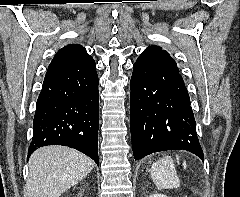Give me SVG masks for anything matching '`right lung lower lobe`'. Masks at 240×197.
Here are the masks:
<instances>
[{
  "label": "right lung lower lobe",
  "instance_id": "right-lung-lower-lobe-1",
  "mask_svg": "<svg viewBox=\"0 0 240 197\" xmlns=\"http://www.w3.org/2000/svg\"><path fill=\"white\" fill-rule=\"evenodd\" d=\"M98 83L96 65L45 76L28 155L42 146L63 145L81 151L99 165Z\"/></svg>",
  "mask_w": 240,
  "mask_h": 197
}]
</instances>
